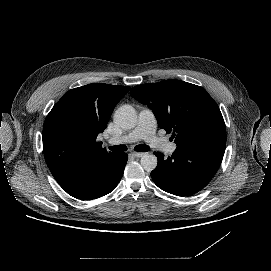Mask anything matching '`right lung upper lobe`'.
I'll use <instances>...</instances> for the list:
<instances>
[{
	"mask_svg": "<svg viewBox=\"0 0 271 271\" xmlns=\"http://www.w3.org/2000/svg\"><path fill=\"white\" fill-rule=\"evenodd\" d=\"M128 86L88 84L69 90L54 105L43 127V152L56 180L87 159L113 155L97 142Z\"/></svg>",
	"mask_w": 271,
	"mask_h": 271,
	"instance_id": "1",
	"label": "right lung upper lobe"
}]
</instances>
